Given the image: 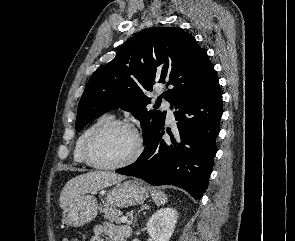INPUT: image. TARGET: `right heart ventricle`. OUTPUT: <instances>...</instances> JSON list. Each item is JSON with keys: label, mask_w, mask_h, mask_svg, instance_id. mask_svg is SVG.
Here are the masks:
<instances>
[{"label": "right heart ventricle", "mask_w": 295, "mask_h": 241, "mask_svg": "<svg viewBox=\"0 0 295 241\" xmlns=\"http://www.w3.org/2000/svg\"><path fill=\"white\" fill-rule=\"evenodd\" d=\"M114 117L111 114H103L96 118L93 122H91L78 136L74 151H73V159L74 162L78 165H87L85 158H84V146L91 135V133L100 125H102L105 122H108L110 120H113Z\"/></svg>", "instance_id": "obj_1"}]
</instances>
